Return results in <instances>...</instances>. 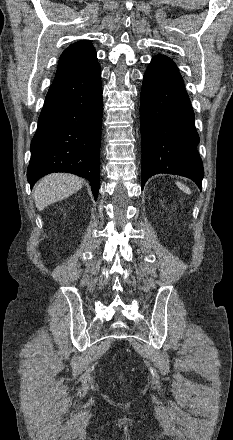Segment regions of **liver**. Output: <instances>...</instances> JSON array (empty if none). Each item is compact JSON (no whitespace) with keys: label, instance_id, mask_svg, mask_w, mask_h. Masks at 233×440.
Here are the masks:
<instances>
[{"label":"liver","instance_id":"1","mask_svg":"<svg viewBox=\"0 0 233 440\" xmlns=\"http://www.w3.org/2000/svg\"><path fill=\"white\" fill-rule=\"evenodd\" d=\"M84 180L66 173H55L43 177L34 187V201L39 211L79 191Z\"/></svg>","mask_w":233,"mask_h":440}]
</instances>
